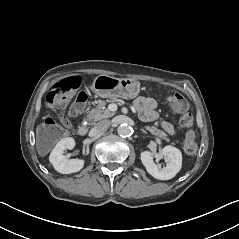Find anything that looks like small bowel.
Wrapping results in <instances>:
<instances>
[{
  "label": "small bowel",
  "mask_w": 239,
  "mask_h": 239,
  "mask_svg": "<svg viewBox=\"0 0 239 239\" xmlns=\"http://www.w3.org/2000/svg\"><path fill=\"white\" fill-rule=\"evenodd\" d=\"M134 107L138 111L140 116L147 121H153L158 118V114L156 111L157 103L152 98L138 97L134 101ZM162 126L167 133L169 134L174 133V129L171 124L163 122Z\"/></svg>",
  "instance_id": "obj_1"
}]
</instances>
